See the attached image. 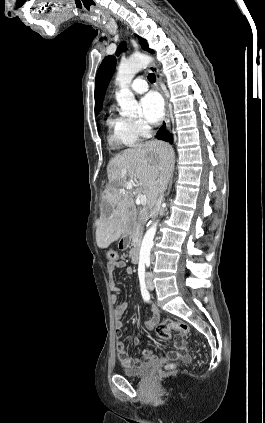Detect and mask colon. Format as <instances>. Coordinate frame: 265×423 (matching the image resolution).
Wrapping results in <instances>:
<instances>
[{"mask_svg":"<svg viewBox=\"0 0 265 423\" xmlns=\"http://www.w3.org/2000/svg\"><path fill=\"white\" fill-rule=\"evenodd\" d=\"M106 257L108 262H115L118 260V253L114 249H109L106 252ZM172 331H176L180 335L185 336L189 333V327L186 323L176 322L170 319H166L156 326V332L162 339H169ZM182 355H185V351L182 352ZM172 367L173 365L168 366L169 369Z\"/></svg>","mask_w":265,"mask_h":423,"instance_id":"1","label":"colon"}]
</instances>
